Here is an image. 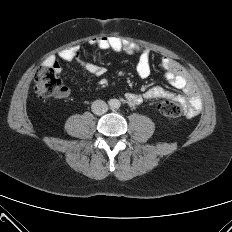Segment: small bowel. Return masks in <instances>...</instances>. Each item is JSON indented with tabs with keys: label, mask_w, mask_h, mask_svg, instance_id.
Returning a JSON list of instances; mask_svg holds the SVG:
<instances>
[{
	"label": "small bowel",
	"mask_w": 232,
	"mask_h": 232,
	"mask_svg": "<svg viewBox=\"0 0 232 232\" xmlns=\"http://www.w3.org/2000/svg\"><path fill=\"white\" fill-rule=\"evenodd\" d=\"M92 46L102 51L114 53L138 54L136 73L146 79L151 75V52L148 48L139 46L133 42L124 40L116 36H101L90 41ZM59 59L64 62L77 60L78 63L91 75L101 77L106 73V68L94 62L81 57L78 50L74 47L62 50L59 53ZM48 61L52 64L57 73H63L62 65L55 57H50ZM159 66L163 71L165 80L175 88L181 89L185 95L175 94L160 86H154L144 93H128L125 95V101L128 106L134 107L148 99H171L180 103L188 117H195L199 114L202 107L201 97L198 88L188 71L176 60L162 56ZM70 94L67 86H62L61 92L56 96L57 99L66 98Z\"/></svg>",
	"instance_id": "obj_1"
}]
</instances>
